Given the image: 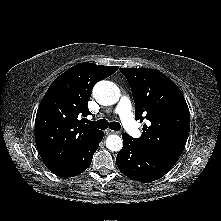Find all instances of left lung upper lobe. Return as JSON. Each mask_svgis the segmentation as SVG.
<instances>
[{"instance_id":"left-lung-upper-lobe-1","label":"left lung upper lobe","mask_w":221,"mask_h":221,"mask_svg":"<svg viewBox=\"0 0 221 221\" xmlns=\"http://www.w3.org/2000/svg\"><path fill=\"white\" fill-rule=\"evenodd\" d=\"M135 102V118L151 122L134 142L142 149L175 165L190 130V113L178 86L155 69L120 68Z\"/></svg>"}]
</instances>
